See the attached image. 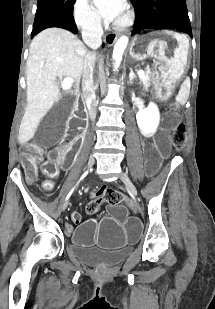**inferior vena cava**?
I'll return each instance as SVG.
<instances>
[{"instance_id": "602c4592", "label": "inferior vena cava", "mask_w": 215, "mask_h": 309, "mask_svg": "<svg viewBox=\"0 0 215 309\" xmlns=\"http://www.w3.org/2000/svg\"><path fill=\"white\" fill-rule=\"evenodd\" d=\"M103 28L101 26L100 18H89L82 24V38L90 48H93L92 52H87L84 56L83 74H82V92L83 98L88 108L90 120L96 118V106L98 104L95 94L94 84V66L96 60V48L102 44Z\"/></svg>"}]
</instances>
